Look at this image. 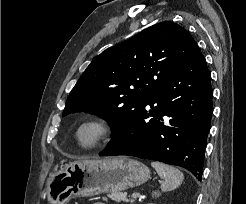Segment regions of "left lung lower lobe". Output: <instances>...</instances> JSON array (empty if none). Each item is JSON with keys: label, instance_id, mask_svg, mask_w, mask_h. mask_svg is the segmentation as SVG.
<instances>
[{"label": "left lung lower lobe", "instance_id": "1", "mask_svg": "<svg viewBox=\"0 0 246 204\" xmlns=\"http://www.w3.org/2000/svg\"><path fill=\"white\" fill-rule=\"evenodd\" d=\"M212 95L211 75L197 46L99 155L161 161L181 166L200 180L211 127Z\"/></svg>", "mask_w": 246, "mask_h": 204}]
</instances>
